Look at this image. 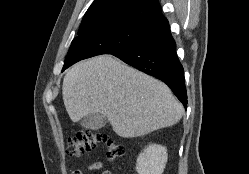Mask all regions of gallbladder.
<instances>
[{
    "mask_svg": "<svg viewBox=\"0 0 249 174\" xmlns=\"http://www.w3.org/2000/svg\"><path fill=\"white\" fill-rule=\"evenodd\" d=\"M106 123L107 118L103 114L90 113L82 119L81 126L91 130H98L104 127Z\"/></svg>",
    "mask_w": 249,
    "mask_h": 174,
    "instance_id": "obj_1",
    "label": "gallbladder"
}]
</instances>
